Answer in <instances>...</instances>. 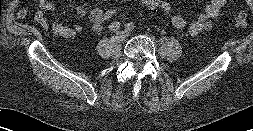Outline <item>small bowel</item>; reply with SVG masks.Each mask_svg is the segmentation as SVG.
Listing matches in <instances>:
<instances>
[{
  "instance_id": "c3829d8e",
  "label": "small bowel",
  "mask_w": 253,
  "mask_h": 131,
  "mask_svg": "<svg viewBox=\"0 0 253 131\" xmlns=\"http://www.w3.org/2000/svg\"><path fill=\"white\" fill-rule=\"evenodd\" d=\"M226 2L227 0H209L208 4L201 10L196 20L188 24L185 18L180 15H175L171 18V24L176 29L188 27L190 35L198 36L212 27V20L219 15ZM39 8L43 13L54 12L60 9L59 6L50 0H39ZM76 14L81 18H88L92 23V29L95 32L102 30L104 23L102 8L97 7L89 11L85 6L80 5L76 8ZM17 15L18 18L24 19L27 16V11L25 9H20ZM39 22L43 27H47L43 18H40ZM51 30L54 34L71 40L82 32V26L76 24L73 27H68L60 23H53Z\"/></svg>"
}]
</instances>
